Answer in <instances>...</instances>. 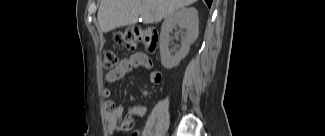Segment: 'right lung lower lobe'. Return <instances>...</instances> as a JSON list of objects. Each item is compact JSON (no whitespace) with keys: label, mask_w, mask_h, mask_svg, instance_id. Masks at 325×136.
<instances>
[{"label":"right lung lower lobe","mask_w":325,"mask_h":136,"mask_svg":"<svg viewBox=\"0 0 325 136\" xmlns=\"http://www.w3.org/2000/svg\"><path fill=\"white\" fill-rule=\"evenodd\" d=\"M205 1L208 4V6L210 7L211 6V3H212V0H205Z\"/></svg>","instance_id":"98d812e1"}]
</instances>
